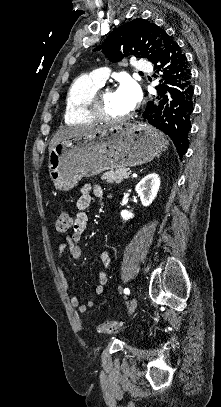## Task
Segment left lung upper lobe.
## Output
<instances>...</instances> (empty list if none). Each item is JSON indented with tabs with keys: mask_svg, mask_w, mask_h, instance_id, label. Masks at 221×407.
<instances>
[{
	"mask_svg": "<svg viewBox=\"0 0 221 407\" xmlns=\"http://www.w3.org/2000/svg\"><path fill=\"white\" fill-rule=\"evenodd\" d=\"M170 36L156 24L144 19H135L116 28L94 51L106 50V57L118 62L123 57L134 55L146 57L154 64L162 55L164 44Z\"/></svg>",
	"mask_w": 221,
	"mask_h": 407,
	"instance_id": "obj_1",
	"label": "left lung upper lobe"
}]
</instances>
